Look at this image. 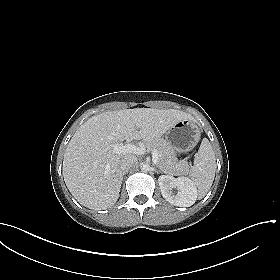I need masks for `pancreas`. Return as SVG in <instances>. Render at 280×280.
I'll return each mask as SVG.
<instances>
[{"label":"pancreas","mask_w":280,"mask_h":280,"mask_svg":"<svg viewBox=\"0 0 280 280\" xmlns=\"http://www.w3.org/2000/svg\"><path fill=\"white\" fill-rule=\"evenodd\" d=\"M148 150L156 149L159 154L156 165L167 174L171 175H185L189 170L188 162L180 160L174 156L173 148L163 139H155L145 142Z\"/></svg>","instance_id":"1"}]
</instances>
